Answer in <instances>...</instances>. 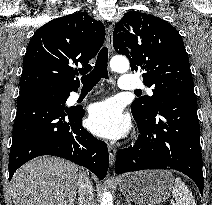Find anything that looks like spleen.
Here are the masks:
<instances>
[{
  "label": "spleen",
  "mask_w": 212,
  "mask_h": 205,
  "mask_svg": "<svg viewBox=\"0 0 212 205\" xmlns=\"http://www.w3.org/2000/svg\"><path fill=\"white\" fill-rule=\"evenodd\" d=\"M172 194L175 199L173 205H197L191 191L179 177L174 181Z\"/></svg>",
  "instance_id": "obj_1"
}]
</instances>
